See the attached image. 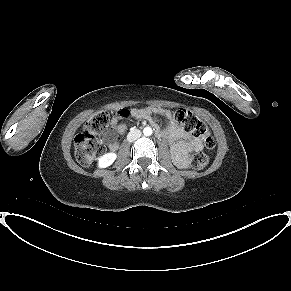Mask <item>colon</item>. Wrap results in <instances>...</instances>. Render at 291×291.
<instances>
[{"mask_svg": "<svg viewBox=\"0 0 291 291\" xmlns=\"http://www.w3.org/2000/svg\"><path fill=\"white\" fill-rule=\"evenodd\" d=\"M129 115L127 109L118 111L120 118ZM178 126L184 131L200 138L204 147L211 149L215 140L210 134L207 125L192 112L179 108L172 112ZM110 114L99 112L91 117L84 125L83 131L75 138L76 159L82 166L92 165L105 151L104 145L97 140L99 135L105 133L110 122ZM208 163V156L203 152L194 153L189 157V164L194 169H203Z\"/></svg>", "mask_w": 291, "mask_h": 291, "instance_id": "5ec220e1", "label": "colon"}]
</instances>
